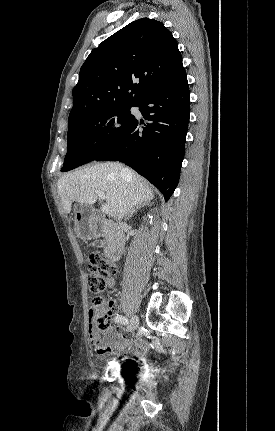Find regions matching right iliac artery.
Instances as JSON below:
<instances>
[{
  "mask_svg": "<svg viewBox=\"0 0 275 431\" xmlns=\"http://www.w3.org/2000/svg\"><path fill=\"white\" fill-rule=\"evenodd\" d=\"M114 322L115 323H119V324H123V325H127L129 323L128 319L122 315H118L114 317Z\"/></svg>",
  "mask_w": 275,
  "mask_h": 431,
  "instance_id": "82829eb1",
  "label": "right iliac artery"
}]
</instances>
